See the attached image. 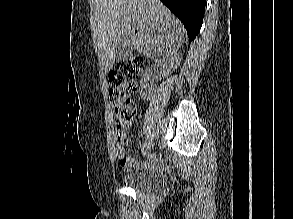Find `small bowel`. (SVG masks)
I'll use <instances>...</instances> for the list:
<instances>
[{"instance_id":"obj_1","label":"small bowel","mask_w":293,"mask_h":219,"mask_svg":"<svg viewBox=\"0 0 293 219\" xmlns=\"http://www.w3.org/2000/svg\"><path fill=\"white\" fill-rule=\"evenodd\" d=\"M129 142L127 134L123 130L117 132V143H118V158L120 164L123 167H131L137 165L134 156L126 153L125 147Z\"/></svg>"}]
</instances>
